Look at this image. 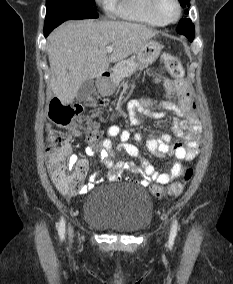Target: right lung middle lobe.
Segmentation results:
<instances>
[{"label":"right lung middle lobe","mask_w":233,"mask_h":284,"mask_svg":"<svg viewBox=\"0 0 233 284\" xmlns=\"http://www.w3.org/2000/svg\"><path fill=\"white\" fill-rule=\"evenodd\" d=\"M44 30L54 29L69 19L97 18L95 0H46Z\"/></svg>","instance_id":"dd1d6c3e"}]
</instances>
